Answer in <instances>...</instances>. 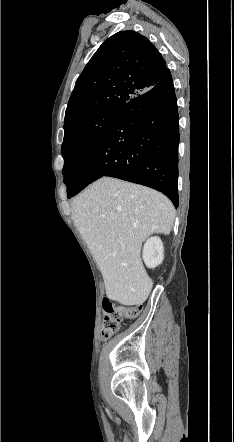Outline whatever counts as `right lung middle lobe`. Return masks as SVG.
<instances>
[{
	"mask_svg": "<svg viewBox=\"0 0 234 442\" xmlns=\"http://www.w3.org/2000/svg\"><path fill=\"white\" fill-rule=\"evenodd\" d=\"M119 111V107L101 109L64 126L61 152L64 158V183L67 188L72 180L70 172L73 167L103 137Z\"/></svg>",
	"mask_w": 234,
	"mask_h": 442,
	"instance_id": "right-lung-middle-lobe-1",
	"label": "right lung middle lobe"
}]
</instances>
